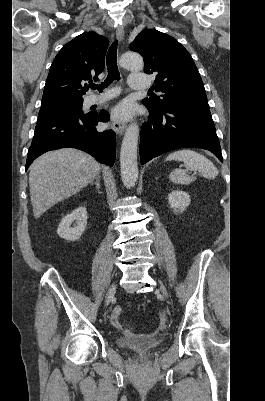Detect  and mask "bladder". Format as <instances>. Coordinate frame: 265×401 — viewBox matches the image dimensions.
Here are the masks:
<instances>
[{
  "label": "bladder",
  "instance_id": "31cf9c89",
  "mask_svg": "<svg viewBox=\"0 0 265 401\" xmlns=\"http://www.w3.org/2000/svg\"><path fill=\"white\" fill-rule=\"evenodd\" d=\"M117 342L121 347H124L129 351H135L142 354L146 353L151 348H156L160 346L162 340L156 337L139 335V336H129L123 339H117Z\"/></svg>",
  "mask_w": 265,
  "mask_h": 401
}]
</instances>
